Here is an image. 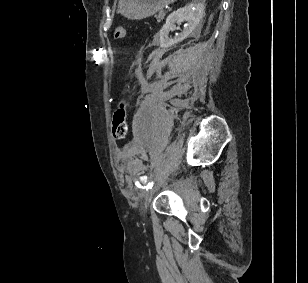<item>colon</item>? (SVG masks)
<instances>
[{
  "label": "colon",
  "instance_id": "obj_1",
  "mask_svg": "<svg viewBox=\"0 0 308 283\" xmlns=\"http://www.w3.org/2000/svg\"><path fill=\"white\" fill-rule=\"evenodd\" d=\"M126 35L127 31L123 27L116 28L113 33L115 39H123ZM127 130V103L120 101L112 116V136L115 140H122L126 137Z\"/></svg>",
  "mask_w": 308,
  "mask_h": 283
}]
</instances>
